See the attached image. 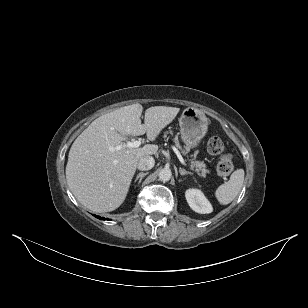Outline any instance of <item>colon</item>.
Returning <instances> with one entry per match:
<instances>
[{"mask_svg":"<svg viewBox=\"0 0 308 308\" xmlns=\"http://www.w3.org/2000/svg\"><path fill=\"white\" fill-rule=\"evenodd\" d=\"M208 152L212 155H218L217 173L222 176H228L234 168L232 156L226 152V146L219 137H212L207 144Z\"/></svg>","mask_w":308,"mask_h":308,"instance_id":"obj_1","label":"colon"}]
</instances>
